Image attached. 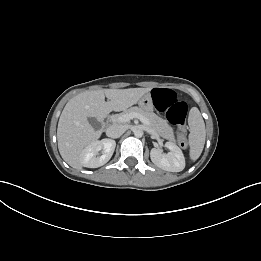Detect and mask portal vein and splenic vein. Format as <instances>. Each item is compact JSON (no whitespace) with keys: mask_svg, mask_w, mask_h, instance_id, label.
I'll use <instances>...</instances> for the list:
<instances>
[{"mask_svg":"<svg viewBox=\"0 0 261 261\" xmlns=\"http://www.w3.org/2000/svg\"><path fill=\"white\" fill-rule=\"evenodd\" d=\"M133 118L139 119L145 125H149L150 124L148 119H146L145 117H143L142 115H140L138 113H130V114L121 115L118 118V121L119 122H128V121H130Z\"/></svg>","mask_w":261,"mask_h":261,"instance_id":"portal-vein-and-splenic-vein-1","label":"portal vein and splenic vein"}]
</instances>
